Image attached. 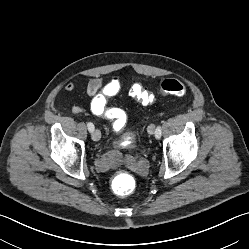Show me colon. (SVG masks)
<instances>
[{"instance_id": "1", "label": "colon", "mask_w": 249, "mask_h": 249, "mask_svg": "<svg viewBox=\"0 0 249 249\" xmlns=\"http://www.w3.org/2000/svg\"><path fill=\"white\" fill-rule=\"evenodd\" d=\"M115 86L111 90L112 94H117L120 89V81L118 78L113 79ZM159 93L162 95L183 96L186 93V85L177 79H165L159 86ZM129 94L134 99L144 105L152 104L155 101L154 92L148 90L139 82H133L130 86ZM126 123L125 120H116L115 130L120 131ZM114 191L120 196L128 195L132 192L131 178L124 172L117 175L114 180Z\"/></svg>"}]
</instances>
